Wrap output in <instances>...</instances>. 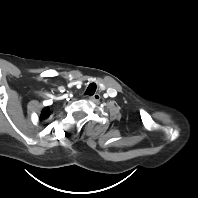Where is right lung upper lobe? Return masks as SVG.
I'll use <instances>...</instances> for the list:
<instances>
[{
    "label": "right lung upper lobe",
    "instance_id": "right-lung-upper-lobe-1",
    "mask_svg": "<svg viewBox=\"0 0 198 198\" xmlns=\"http://www.w3.org/2000/svg\"><path fill=\"white\" fill-rule=\"evenodd\" d=\"M50 113H51V111H50L49 107H45V108L42 110V112H41L40 119L42 120V119L48 118V117L50 116Z\"/></svg>",
    "mask_w": 198,
    "mask_h": 198
}]
</instances>
